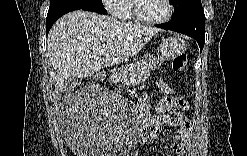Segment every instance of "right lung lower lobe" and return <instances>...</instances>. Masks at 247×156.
Segmentation results:
<instances>
[{
	"instance_id": "1",
	"label": "right lung lower lobe",
	"mask_w": 247,
	"mask_h": 156,
	"mask_svg": "<svg viewBox=\"0 0 247 156\" xmlns=\"http://www.w3.org/2000/svg\"><path fill=\"white\" fill-rule=\"evenodd\" d=\"M74 10H76V9H63V10L48 14L47 15V19H46V22H47L46 33L48 34L50 28L52 27L53 23L57 19H59L64 14H66V13H68L70 11H74ZM82 10L97 12L99 14H106L107 13V11L105 9H101V8H85V9H82Z\"/></svg>"
}]
</instances>
